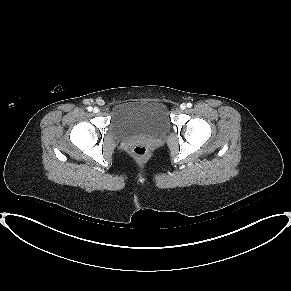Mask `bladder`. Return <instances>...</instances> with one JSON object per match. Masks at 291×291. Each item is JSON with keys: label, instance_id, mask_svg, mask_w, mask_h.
I'll list each match as a JSON object with an SVG mask.
<instances>
[{"label": "bladder", "instance_id": "31cf9c89", "mask_svg": "<svg viewBox=\"0 0 291 291\" xmlns=\"http://www.w3.org/2000/svg\"><path fill=\"white\" fill-rule=\"evenodd\" d=\"M171 126L167 106L158 100H133L115 105L109 128L114 136L127 138L136 134H159Z\"/></svg>", "mask_w": 291, "mask_h": 291}]
</instances>
